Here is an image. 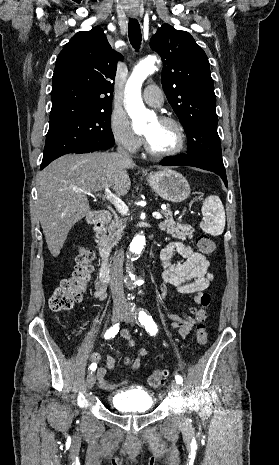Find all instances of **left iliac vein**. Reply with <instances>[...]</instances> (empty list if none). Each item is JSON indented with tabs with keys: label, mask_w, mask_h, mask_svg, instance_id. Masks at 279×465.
<instances>
[{
	"label": "left iliac vein",
	"mask_w": 279,
	"mask_h": 465,
	"mask_svg": "<svg viewBox=\"0 0 279 465\" xmlns=\"http://www.w3.org/2000/svg\"><path fill=\"white\" fill-rule=\"evenodd\" d=\"M122 320L127 323H134V314L131 310L126 309L122 315ZM171 392L174 396H179L180 394V385L176 381L171 383Z\"/></svg>",
	"instance_id": "4c4485c4"
}]
</instances>
